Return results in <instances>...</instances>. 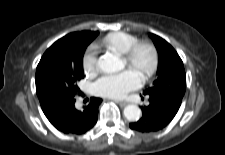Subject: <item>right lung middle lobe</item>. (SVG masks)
<instances>
[{"label": "right lung middle lobe", "instance_id": "right-lung-middle-lobe-1", "mask_svg": "<svg viewBox=\"0 0 225 155\" xmlns=\"http://www.w3.org/2000/svg\"><path fill=\"white\" fill-rule=\"evenodd\" d=\"M88 44H53L36 69V93L48 103L60 97H73L79 91L77 81L84 77L83 54Z\"/></svg>", "mask_w": 225, "mask_h": 155}]
</instances>
